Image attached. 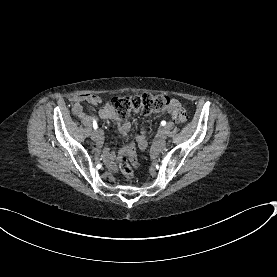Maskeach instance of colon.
Segmentation results:
<instances>
[{"mask_svg": "<svg viewBox=\"0 0 277 277\" xmlns=\"http://www.w3.org/2000/svg\"><path fill=\"white\" fill-rule=\"evenodd\" d=\"M87 100L93 103L96 97L90 94ZM110 102L117 115L121 118H126L132 112L145 115L160 114L168 109L170 99L163 94L143 93L131 96H114L111 98ZM173 116L174 120L178 123H184L187 120L186 111L181 107H177L173 110ZM118 162L121 172L126 178L131 179L132 168L129 162L135 164L133 149L127 147L125 153L121 152L118 155Z\"/></svg>", "mask_w": 277, "mask_h": 277, "instance_id": "1", "label": "colon"}]
</instances>
